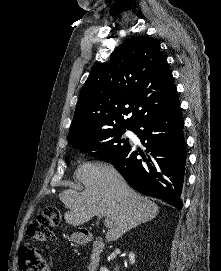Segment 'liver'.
I'll use <instances>...</instances> for the list:
<instances>
[{
	"instance_id": "liver-1",
	"label": "liver",
	"mask_w": 221,
	"mask_h": 271,
	"mask_svg": "<svg viewBox=\"0 0 221 271\" xmlns=\"http://www.w3.org/2000/svg\"><path fill=\"white\" fill-rule=\"evenodd\" d=\"M76 177L84 191L60 193L69 207L64 219L70 225H83L94 215H109L113 227L106 233L107 241H116L132 227L151 221L159 211L158 205L134 191L113 165L85 161L78 165Z\"/></svg>"
}]
</instances>
